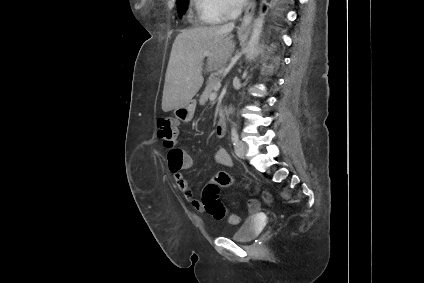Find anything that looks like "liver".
Listing matches in <instances>:
<instances>
[{
    "mask_svg": "<svg viewBox=\"0 0 424 283\" xmlns=\"http://www.w3.org/2000/svg\"><path fill=\"white\" fill-rule=\"evenodd\" d=\"M234 25L198 26L183 30L172 45L165 76L162 110L168 112L189 103L201 88L203 73L226 65L235 43L230 36ZM208 51L203 68L204 52Z\"/></svg>",
    "mask_w": 424,
    "mask_h": 283,
    "instance_id": "6515ba94",
    "label": "liver"
}]
</instances>
